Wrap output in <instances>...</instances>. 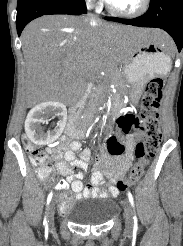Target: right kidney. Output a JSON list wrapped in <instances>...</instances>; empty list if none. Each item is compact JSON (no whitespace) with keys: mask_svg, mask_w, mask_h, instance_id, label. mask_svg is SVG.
Instances as JSON below:
<instances>
[{"mask_svg":"<svg viewBox=\"0 0 183 246\" xmlns=\"http://www.w3.org/2000/svg\"><path fill=\"white\" fill-rule=\"evenodd\" d=\"M59 117L57 129L44 133L41 124L48 123L49 117ZM67 121L66 107L59 102L49 101L32 108L25 121V131L28 138L36 145H46L56 140L62 133Z\"/></svg>","mask_w":183,"mask_h":246,"instance_id":"ca27d5eb","label":"right kidney"}]
</instances>
